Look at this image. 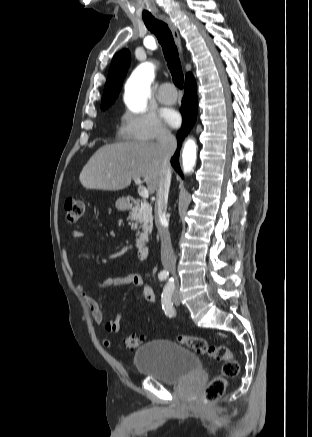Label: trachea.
<instances>
[{"label":"trachea","instance_id":"3493384b","mask_svg":"<svg viewBox=\"0 0 312 437\" xmlns=\"http://www.w3.org/2000/svg\"><path fill=\"white\" fill-rule=\"evenodd\" d=\"M142 18L146 27L157 37L163 48L164 57L172 74L174 84L179 89H182L184 75L181 69L178 50L168 25L163 21L155 19L151 14H145Z\"/></svg>","mask_w":312,"mask_h":437}]
</instances>
